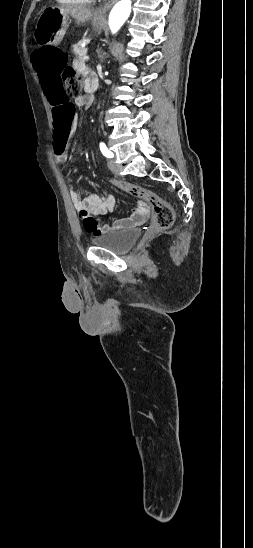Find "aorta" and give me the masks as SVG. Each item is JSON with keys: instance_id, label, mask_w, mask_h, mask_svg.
Returning <instances> with one entry per match:
<instances>
[{"instance_id": "obj_1", "label": "aorta", "mask_w": 253, "mask_h": 548, "mask_svg": "<svg viewBox=\"0 0 253 548\" xmlns=\"http://www.w3.org/2000/svg\"><path fill=\"white\" fill-rule=\"evenodd\" d=\"M131 13V0H120L112 8L109 15V28L113 34L123 26Z\"/></svg>"}]
</instances>
